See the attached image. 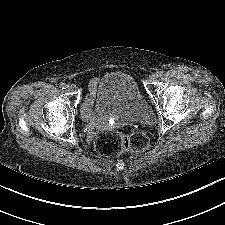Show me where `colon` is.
Wrapping results in <instances>:
<instances>
[{"mask_svg":"<svg viewBox=\"0 0 225 225\" xmlns=\"http://www.w3.org/2000/svg\"><path fill=\"white\" fill-rule=\"evenodd\" d=\"M149 139L143 132L126 135L120 132H102L95 140L97 152L103 156L113 157L123 152H138L147 149Z\"/></svg>","mask_w":225,"mask_h":225,"instance_id":"obj_1","label":"colon"}]
</instances>
